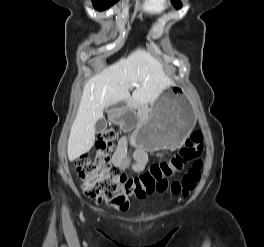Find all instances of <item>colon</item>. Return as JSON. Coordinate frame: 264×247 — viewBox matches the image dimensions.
I'll list each match as a JSON object with an SVG mask.
<instances>
[{"instance_id": "1", "label": "colon", "mask_w": 264, "mask_h": 247, "mask_svg": "<svg viewBox=\"0 0 264 247\" xmlns=\"http://www.w3.org/2000/svg\"><path fill=\"white\" fill-rule=\"evenodd\" d=\"M116 132L107 126L98 134L96 156L78 159L76 170L82 182L84 194L99 202H105L118 211H126L132 199H144L156 192L170 190L174 195L188 196L196 188L201 178L203 161V135L194 132L190 138L168 160L151 165L149 170L136 178H129L110 163V153L114 149ZM190 169L178 181L169 182L176 173Z\"/></svg>"}]
</instances>
